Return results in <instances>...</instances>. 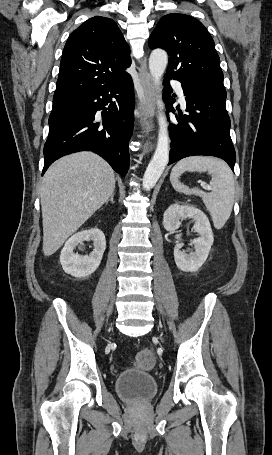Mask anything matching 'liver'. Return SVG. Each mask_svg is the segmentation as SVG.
<instances>
[{
  "instance_id": "1",
  "label": "liver",
  "mask_w": 272,
  "mask_h": 455,
  "mask_svg": "<svg viewBox=\"0 0 272 455\" xmlns=\"http://www.w3.org/2000/svg\"><path fill=\"white\" fill-rule=\"evenodd\" d=\"M115 175L92 152H79L56 161L40 187L43 253L54 254L113 194Z\"/></svg>"
}]
</instances>
